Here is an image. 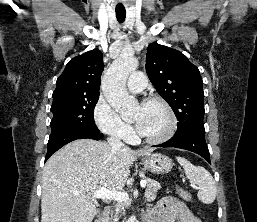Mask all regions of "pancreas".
I'll list each match as a JSON object with an SVG mask.
<instances>
[{
    "label": "pancreas",
    "instance_id": "cf45deb5",
    "mask_svg": "<svg viewBox=\"0 0 257 222\" xmlns=\"http://www.w3.org/2000/svg\"><path fill=\"white\" fill-rule=\"evenodd\" d=\"M158 189L159 185H155V181L151 180L148 182L145 190V198L148 202H151L156 198ZM127 207H129L128 203H118L115 208V215L111 217V222H117L119 219V214L122 213V211H124Z\"/></svg>",
    "mask_w": 257,
    "mask_h": 222
}]
</instances>
